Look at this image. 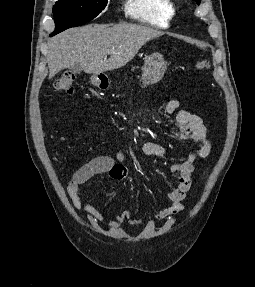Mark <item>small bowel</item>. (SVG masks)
Masks as SVG:
<instances>
[{
    "mask_svg": "<svg viewBox=\"0 0 255 287\" xmlns=\"http://www.w3.org/2000/svg\"><path fill=\"white\" fill-rule=\"evenodd\" d=\"M164 111L167 114L176 113L180 132L179 138L183 142L193 145V148L181 163L171 166V173L178 179L177 187L168 194V205L161 208L150 219L149 224L151 225H154L156 220L169 218L183 210L182 201L191 187L194 162L198 158H206L211 151V143L207 137L206 127L201 117L188 111L180 110L179 102L175 99L165 103ZM141 151L146 156L163 157L167 155L166 148L154 142H145L141 146ZM123 158V153H118L116 158L97 156L73 174L67 190L75 209L82 207V186L88 180L103 176H108L114 180H124L127 177V168L120 163ZM85 208L90 222L104 224L107 228H118L125 221H129L131 224L138 223V221L131 219V214L128 211H121L117 214L102 213L91 204H86Z\"/></svg>",
    "mask_w": 255,
    "mask_h": 287,
    "instance_id": "c3829d8e",
    "label": "small bowel"
}]
</instances>
